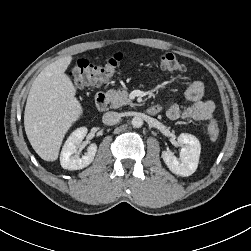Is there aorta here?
Instances as JSON below:
<instances>
[{
	"mask_svg": "<svg viewBox=\"0 0 251 251\" xmlns=\"http://www.w3.org/2000/svg\"><path fill=\"white\" fill-rule=\"evenodd\" d=\"M131 123H132L133 127L140 128L143 125V119L139 116H135V117H133Z\"/></svg>",
	"mask_w": 251,
	"mask_h": 251,
	"instance_id": "obj_1",
	"label": "aorta"
}]
</instances>
